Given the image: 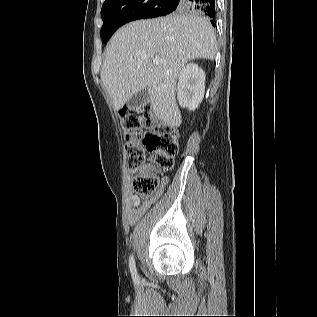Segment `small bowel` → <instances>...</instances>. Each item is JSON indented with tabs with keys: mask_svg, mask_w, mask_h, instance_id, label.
<instances>
[{
	"mask_svg": "<svg viewBox=\"0 0 317 317\" xmlns=\"http://www.w3.org/2000/svg\"><path fill=\"white\" fill-rule=\"evenodd\" d=\"M168 180L167 178H163L161 181V190L158 196L161 194L165 186L167 185ZM155 198L147 199L145 201H141L140 198L129 192L127 194V209H126V219L129 224L136 223L144 214L145 212L151 207L154 203Z\"/></svg>",
	"mask_w": 317,
	"mask_h": 317,
	"instance_id": "1",
	"label": "small bowel"
}]
</instances>
